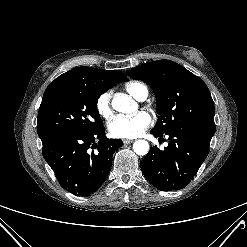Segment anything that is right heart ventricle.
I'll use <instances>...</instances> for the list:
<instances>
[{
    "mask_svg": "<svg viewBox=\"0 0 247 247\" xmlns=\"http://www.w3.org/2000/svg\"><path fill=\"white\" fill-rule=\"evenodd\" d=\"M125 89L136 99H139L143 93L148 92L147 88L140 82H129L126 84Z\"/></svg>",
    "mask_w": 247,
    "mask_h": 247,
    "instance_id": "right-heart-ventricle-1",
    "label": "right heart ventricle"
}]
</instances>
